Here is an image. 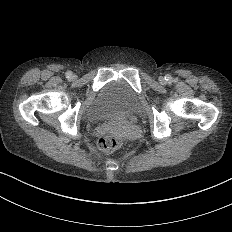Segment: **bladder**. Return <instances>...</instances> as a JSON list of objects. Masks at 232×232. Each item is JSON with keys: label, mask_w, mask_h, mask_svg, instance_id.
<instances>
[{"label": "bladder", "mask_w": 232, "mask_h": 232, "mask_svg": "<svg viewBox=\"0 0 232 232\" xmlns=\"http://www.w3.org/2000/svg\"><path fill=\"white\" fill-rule=\"evenodd\" d=\"M140 100L133 89L121 80L106 83L83 112L86 121L97 123L111 115L133 116L140 112Z\"/></svg>", "instance_id": "31cf9c89"}]
</instances>
